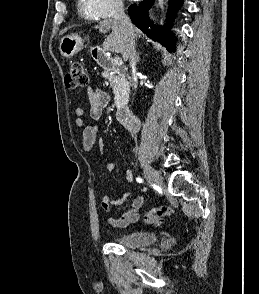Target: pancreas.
Instances as JSON below:
<instances>
[{
    "instance_id": "pancreas-1",
    "label": "pancreas",
    "mask_w": 259,
    "mask_h": 294,
    "mask_svg": "<svg viewBox=\"0 0 259 294\" xmlns=\"http://www.w3.org/2000/svg\"><path fill=\"white\" fill-rule=\"evenodd\" d=\"M103 76L109 80L113 89L115 105L126 104L129 99L130 88L125 74L119 69H114L112 74L105 70Z\"/></svg>"
}]
</instances>
